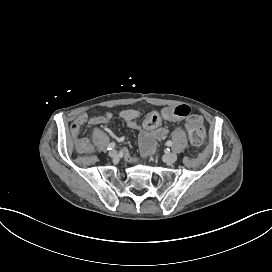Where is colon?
Wrapping results in <instances>:
<instances>
[{
	"mask_svg": "<svg viewBox=\"0 0 272 272\" xmlns=\"http://www.w3.org/2000/svg\"><path fill=\"white\" fill-rule=\"evenodd\" d=\"M170 113L177 118H186L189 115L190 109L187 105L180 104L178 106H172L168 108ZM99 113V109H93L91 111L92 115H96ZM80 123L76 122L72 126V132L76 133L79 130ZM186 128L188 134L190 136V140L193 145L198 146L203 141V126L202 121L198 117H192L188 120L186 124ZM88 146V140L83 138L79 141V148L83 149Z\"/></svg>",
	"mask_w": 272,
	"mask_h": 272,
	"instance_id": "1",
	"label": "colon"
}]
</instances>
